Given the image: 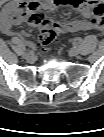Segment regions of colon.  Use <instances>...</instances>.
<instances>
[{"instance_id":"obj_1","label":"colon","mask_w":104,"mask_h":137,"mask_svg":"<svg viewBox=\"0 0 104 137\" xmlns=\"http://www.w3.org/2000/svg\"><path fill=\"white\" fill-rule=\"evenodd\" d=\"M44 18H45L44 14L39 12V13H36L31 18V20L33 22L40 23L44 21ZM56 35H57V31L52 27L41 29L39 44L43 47L47 46L51 41H53L56 38Z\"/></svg>"}]
</instances>
